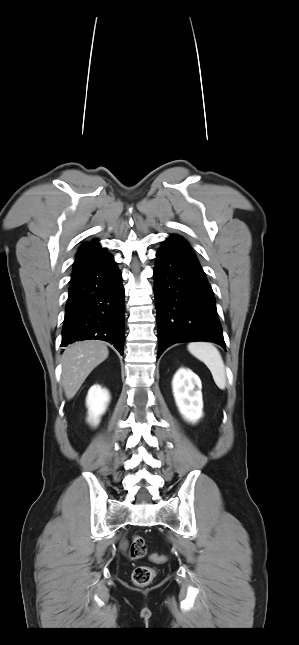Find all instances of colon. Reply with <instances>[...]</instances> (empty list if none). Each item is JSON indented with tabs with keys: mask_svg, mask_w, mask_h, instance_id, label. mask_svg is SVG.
Masks as SVG:
<instances>
[{
	"mask_svg": "<svg viewBox=\"0 0 299 645\" xmlns=\"http://www.w3.org/2000/svg\"><path fill=\"white\" fill-rule=\"evenodd\" d=\"M146 553L147 546L144 538L138 535L133 536L130 547L131 557L133 559H141L146 555ZM151 558L156 562H161L164 560V556L158 554H153ZM155 574L156 572L152 567L139 566L136 567L132 573V581L136 586L145 587L151 583V581L155 577Z\"/></svg>",
	"mask_w": 299,
	"mask_h": 645,
	"instance_id": "1",
	"label": "colon"
}]
</instances>
